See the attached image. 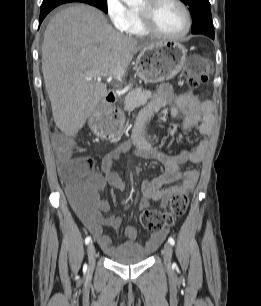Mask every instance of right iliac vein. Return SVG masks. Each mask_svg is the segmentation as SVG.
<instances>
[{
  "label": "right iliac vein",
  "mask_w": 261,
  "mask_h": 306,
  "mask_svg": "<svg viewBox=\"0 0 261 306\" xmlns=\"http://www.w3.org/2000/svg\"><path fill=\"white\" fill-rule=\"evenodd\" d=\"M87 254L89 259L90 268H94L95 266V257H96V249L94 244L91 242L87 247Z\"/></svg>",
  "instance_id": "63e3f726"
}]
</instances>
